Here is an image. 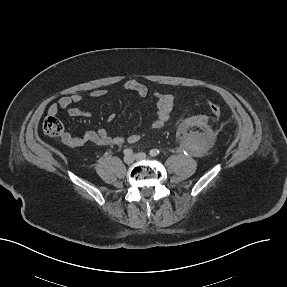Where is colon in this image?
<instances>
[{
	"instance_id": "obj_1",
	"label": "colon",
	"mask_w": 287,
	"mask_h": 287,
	"mask_svg": "<svg viewBox=\"0 0 287 287\" xmlns=\"http://www.w3.org/2000/svg\"><path fill=\"white\" fill-rule=\"evenodd\" d=\"M209 111L214 116H219L222 112L221 106L216 102H209ZM43 132L45 135L55 138L63 134V124L55 115L47 116L43 121Z\"/></svg>"
}]
</instances>
